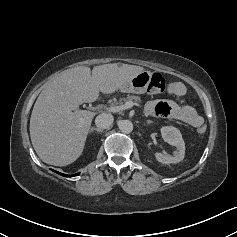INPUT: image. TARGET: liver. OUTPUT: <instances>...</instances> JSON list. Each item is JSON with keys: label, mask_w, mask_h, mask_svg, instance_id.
<instances>
[{"label": "liver", "mask_w": 237, "mask_h": 237, "mask_svg": "<svg viewBox=\"0 0 237 237\" xmlns=\"http://www.w3.org/2000/svg\"><path fill=\"white\" fill-rule=\"evenodd\" d=\"M144 70L141 66L110 63L91 69L79 66L63 71L46 83L30 118V138L40 159L66 166L83 152L95 113L80 110L99 93L112 94Z\"/></svg>", "instance_id": "6515ba94"}]
</instances>
